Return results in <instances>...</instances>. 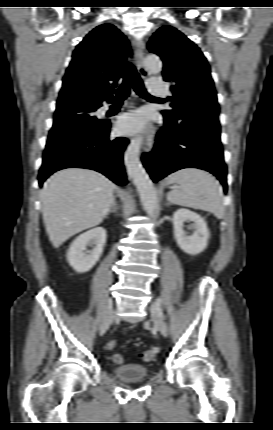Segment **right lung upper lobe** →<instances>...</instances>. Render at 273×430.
I'll list each match as a JSON object with an SVG mask.
<instances>
[{"label":"right lung upper lobe","instance_id":"right-lung-upper-lobe-1","mask_svg":"<svg viewBox=\"0 0 273 430\" xmlns=\"http://www.w3.org/2000/svg\"><path fill=\"white\" fill-rule=\"evenodd\" d=\"M130 54L126 37L113 25L93 29L73 52L63 78L57 107L70 100L101 106L113 100V88L123 76V65Z\"/></svg>","mask_w":273,"mask_h":430}]
</instances>
